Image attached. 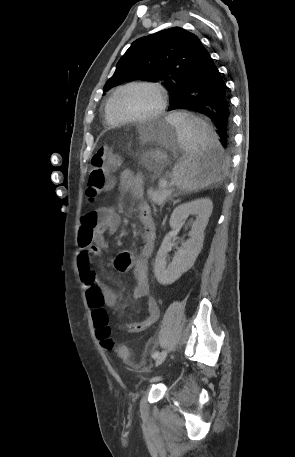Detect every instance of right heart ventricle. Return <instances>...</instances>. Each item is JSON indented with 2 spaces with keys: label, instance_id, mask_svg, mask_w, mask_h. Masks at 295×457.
I'll return each instance as SVG.
<instances>
[{
  "label": "right heart ventricle",
  "instance_id": "obj_1",
  "mask_svg": "<svg viewBox=\"0 0 295 457\" xmlns=\"http://www.w3.org/2000/svg\"><path fill=\"white\" fill-rule=\"evenodd\" d=\"M110 99H108V101L106 102L105 104V108H104V116H105V119L106 121L109 123V124H117L118 121L112 116L111 112H110Z\"/></svg>",
  "mask_w": 295,
  "mask_h": 457
}]
</instances>
